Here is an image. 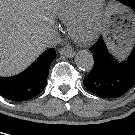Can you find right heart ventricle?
Segmentation results:
<instances>
[{
  "label": "right heart ventricle",
  "instance_id": "e07e8e85",
  "mask_svg": "<svg viewBox=\"0 0 135 135\" xmlns=\"http://www.w3.org/2000/svg\"><path fill=\"white\" fill-rule=\"evenodd\" d=\"M86 0H60L56 7V16L69 23L84 7Z\"/></svg>",
  "mask_w": 135,
  "mask_h": 135
}]
</instances>
